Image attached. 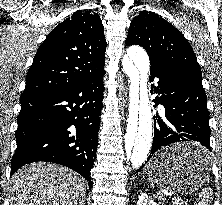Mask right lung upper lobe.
Instances as JSON below:
<instances>
[{"label":"right lung upper lobe","instance_id":"1","mask_svg":"<svg viewBox=\"0 0 222 205\" xmlns=\"http://www.w3.org/2000/svg\"><path fill=\"white\" fill-rule=\"evenodd\" d=\"M106 46L100 16L74 12L39 47L23 94L74 86L105 72Z\"/></svg>","mask_w":222,"mask_h":205}]
</instances>
